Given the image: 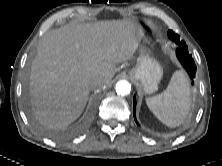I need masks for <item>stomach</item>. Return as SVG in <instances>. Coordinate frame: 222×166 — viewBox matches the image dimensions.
Masks as SVG:
<instances>
[{
    "mask_svg": "<svg viewBox=\"0 0 222 166\" xmlns=\"http://www.w3.org/2000/svg\"><path fill=\"white\" fill-rule=\"evenodd\" d=\"M137 61V65L129 71V76L146 94H152L158 89V83L163 76L162 67L155 59L143 52Z\"/></svg>",
    "mask_w": 222,
    "mask_h": 166,
    "instance_id": "stomach-1",
    "label": "stomach"
}]
</instances>
